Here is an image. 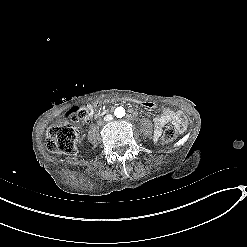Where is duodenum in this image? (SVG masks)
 <instances>
[{
    "label": "duodenum",
    "instance_id": "410a0bca",
    "mask_svg": "<svg viewBox=\"0 0 247 247\" xmlns=\"http://www.w3.org/2000/svg\"><path fill=\"white\" fill-rule=\"evenodd\" d=\"M105 112H101L100 114H104Z\"/></svg>",
    "mask_w": 247,
    "mask_h": 247
}]
</instances>
